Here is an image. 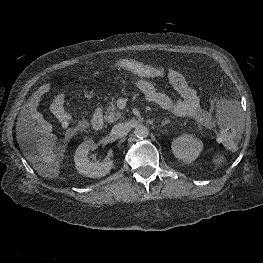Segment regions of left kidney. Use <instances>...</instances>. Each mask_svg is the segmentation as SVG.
I'll list each match as a JSON object with an SVG mask.
<instances>
[{
  "instance_id": "1",
  "label": "left kidney",
  "mask_w": 263,
  "mask_h": 263,
  "mask_svg": "<svg viewBox=\"0 0 263 263\" xmlns=\"http://www.w3.org/2000/svg\"><path fill=\"white\" fill-rule=\"evenodd\" d=\"M171 148L176 158L191 163L202 151L203 143L191 135L183 134L173 140Z\"/></svg>"
}]
</instances>
